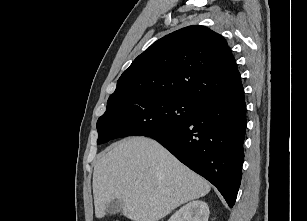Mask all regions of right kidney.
Masks as SVG:
<instances>
[{
  "mask_svg": "<svg viewBox=\"0 0 307 221\" xmlns=\"http://www.w3.org/2000/svg\"><path fill=\"white\" fill-rule=\"evenodd\" d=\"M209 207L201 200H195L181 207L168 221H208Z\"/></svg>",
  "mask_w": 307,
  "mask_h": 221,
  "instance_id": "obj_1",
  "label": "right kidney"
}]
</instances>
